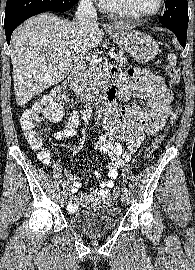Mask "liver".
Returning a JSON list of instances; mask_svg holds the SVG:
<instances>
[{
	"mask_svg": "<svg viewBox=\"0 0 195 270\" xmlns=\"http://www.w3.org/2000/svg\"><path fill=\"white\" fill-rule=\"evenodd\" d=\"M116 26L132 29L122 23ZM103 35L97 23L81 34L76 21L68 22L50 13L33 16L17 27L11 38L16 103L23 106L61 82L69 74L77 52L97 47Z\"/></svg>",
	"mask_w": 195,
	"mask_h": 270,
	"instance_id": "liver-1",
	"label": "liver"
}]
</instances>
